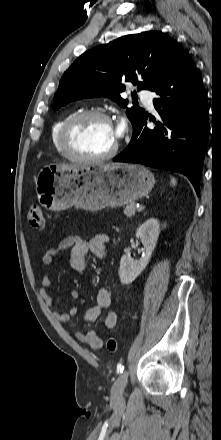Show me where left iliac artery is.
<instances>
[{
  "mask_svg": "<svg viewBox=\"0 0 221 440\" xmlns=\"http://www.w3.org/2000/svg\"><path fill=\"white\" fill-rule=\"evenodd\" d=\"M123 370H124V366L121 363H119L117 365V372L118 373H123Z\"/></svg>",
  "mask_w": 221,
  "mask_h": 440,
  "instance_id": "left-iliac-artery-1",
  "label": "left iliac artery"
}]
</instances>
